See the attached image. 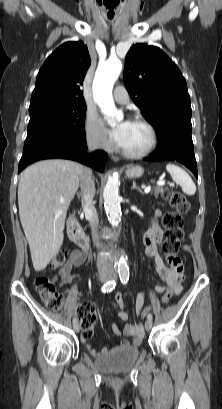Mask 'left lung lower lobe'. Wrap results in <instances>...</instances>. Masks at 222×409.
I'll return each instance as SVG.
<instances>
[{
  "label": "left lung lower lobe",
  "instance_id": "left-lung-lower-lobe-1",
  "mask_svg": "<svg viewBox=\"0 0 222 409\" xmlns=\"http://www.w3.org/2000/svg\"><path fill=\"white\" fill-rule=\"evenodd\" d=\"M147 161H178L188 167L197 177V163L191 136L169 135L159 141L155 152Z\"/></svg>",
  "mask_w": 222,
  "mask_h": 409
}]
</instances>
